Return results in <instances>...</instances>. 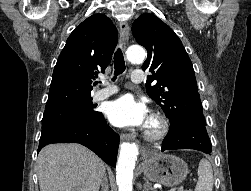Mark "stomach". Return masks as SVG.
Wrapping results in <instances>:
<instances>
[{
	"mask_svg": "<svg viewBox=\"0 0 251 191\" xmlns=\"http://www.w3.org/2000/svg\"><path fill=\"white\" fill-rule=\"evenodd\" d=\"M145 177L163 185H177L185 179L188 165L181 157L170 153H157L146 157L143 163Z\"/></svg>",
	"mask_w": 251,
	"mask_h": 191,
	"instance_id": "stomach-1",
	"label": "stomach"
}]
</instances>
